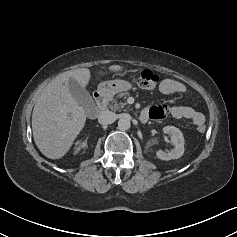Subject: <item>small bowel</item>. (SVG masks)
Returning a JSON list of instances; mask_svg holds the SVG:
<instances>
[{"label":"small bowel","mask_w":237,"mask_h":237,"mask_svg":"<svg viewBox=\"0 0 237 237\" xmlns=\"http://www.w3.org/2000/svg\"><path fill=\"white\" fill-rule=\"evenodd\" d=\"M159 90L165 95L183 94L186 91V87L178 80L166 78L160 83ZM166 115H170L175 119L189 121L197 127L203 126L205 122L204 115L191 106L174 105L170 107L165 103H159L144 109L141 114V119L143 121H147L149 118L161 119Z\"/></svg>","instance_id":"obj_1"}]
</instances>
